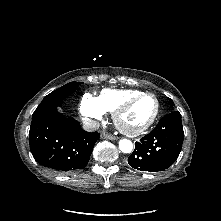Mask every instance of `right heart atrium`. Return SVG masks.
Here are the masks:
<instances>
[{
  "mask_svg": "<svg viewBox=\"0 0 221 221\" xmlns=\"http://www.w3.org/2000/svg\"><path fill=\"white\" fill-rule=\"evenodd\" d=\"M104 113L96 97H93L89 93L83 95L80 102V114L88 124H96L102 119Z\"/></svg>",
  "mask_w": 221,
  "mask_h": 221,
  "instance_id": "right-heart-atrium-1",
  "label": "right heart atrium"
}]
</instances>
